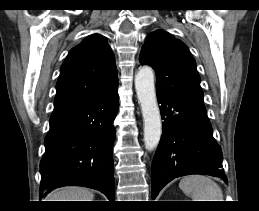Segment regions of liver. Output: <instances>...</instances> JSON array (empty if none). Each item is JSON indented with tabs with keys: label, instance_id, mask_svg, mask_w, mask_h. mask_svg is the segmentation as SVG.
I'll use <instances>...</instances> for the list:
<instances>
[{
	"label": "liver",
	"instance_id": "6515ba94",
	"mask_svg": "<svg viewBox=\"0 0 259 211\" xmlns=\"http://www.w3.org/2000/svg\"><path fill=\"white\" fill-rule=\"evenodd\" d=\"M94 194L82 187H63L51 192L47 201H93Z\"/></svg>",
	"mask_w": 259,
	"mask_h": 211
}]
</instances>
